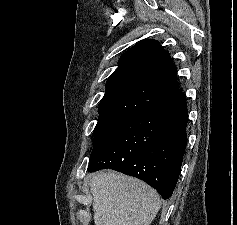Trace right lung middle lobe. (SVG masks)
I'll use <instances>...</instances> for the list:
<instances>
[{
	"mask_svg": "<svg viewBox=\"0 0 237 225\" xmlns=\"http://www.w3.org/2000/svg\"><path fill=\"white\" fill-rule=\"evenodd\" d=\"M124 123V121L119 120H98V123L94 129V148L99 145L110 133H112L115 129H117Z\"/></svg>",
	"mask_w": 237,
	"mask_h": 225,
	"instance_id": "right-lung-middle-lobe-1",
	"label": "right lung middle lobe"
}]
</instances>
